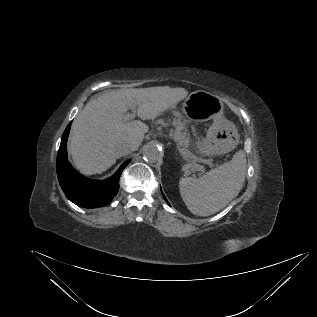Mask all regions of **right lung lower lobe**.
Masks as SVG:
<instances>
[{
	"mask_svg": "<svg viewBox=\"0 0 317 317\" xmlns=\"http://www.w3.org/2000/svg\"><path fill=\"white\" fill-rule=\"evenodd\" d=\"M71 123L67 126L61 139L57 155V176L67 198L78 206L97 208L111 202L119 190V177L130 161L122 164L116 174L105 181L88 179L79 174L67 160V138Z\"/></svg>",
	"mask_w": 317,
	"mask_h": 317,
	"instance_id": "1",
	"label": "right lung lower lobe"
}]
</instances>
